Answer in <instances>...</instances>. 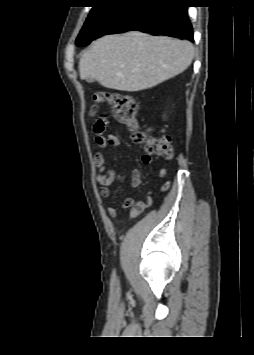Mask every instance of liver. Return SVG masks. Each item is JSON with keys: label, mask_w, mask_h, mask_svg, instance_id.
<instances>
[{"label": "liver", "mask_w": 254, "mask_h": 355, "mask_svg": "<svg viewBox=\"0 0 254 355\" xmlns=\"http://www.w3.org/2000/svg\"><path fill=\"white\" fill-rule=\"evenodd\" d=\"M193 57L189 41L131 31L96 40L80 58L79 73L81 79L93 78L103 87L135 92L179 75Z\"/></svg>", "instance_id": "1"}]
</instances>
